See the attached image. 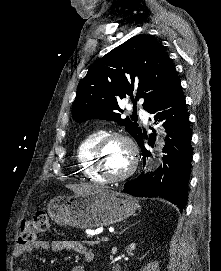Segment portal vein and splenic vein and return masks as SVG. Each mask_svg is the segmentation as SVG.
<instances>
[{
	"label": "portal vein and splenic vein",
	"instance_id": "18ae733b",
	"mask_svg": "<svg viewBox=\"0 0 221 271\" xmlns=\"http://www.w3.org/2000/svg\"><path fill=\"white\" fill-rule=\"evenodd\" d=\"M100 240H109V235H100Z\"/></svg>",
	"mask_w": 221,
	"mask_h": 271
}]
</instances>
